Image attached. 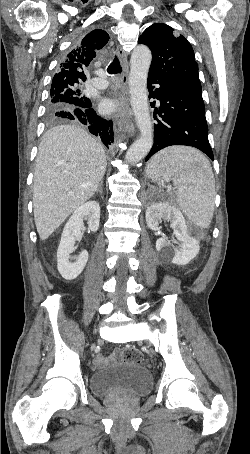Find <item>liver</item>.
I'll return each mask as SVG.
<instances>
[{
  "instance_id": "1",
  "label": "liver",
  "mask_w": 250,
  "mask_h": 454,
  "mask_svg": "<svg viewBox=\"0 0 250 454\" xmlns=\"http://www.w3.org/2000/svg\"><path fill=\"white\" fill-rule=\"evenodd\" d=\"M106 166L103 146L84 129L59 125L44 134L33 188L34 221L41 240L94 195Z\"/></svg>"
}]
</instances>
